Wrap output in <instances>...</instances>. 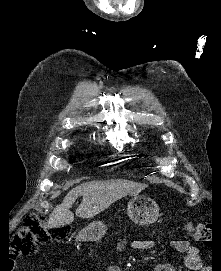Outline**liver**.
<instances>
[{"mask_svg": "<svg viewBox=\"0 0 221 271\" xmlns=\"http://www.w3.org/2000/svg\"><path fill=\"white\" fill-rule=\"evenodd\" d=\"M127 193L125 183H118V181L80 183L67 193L60 205L54 207L48 219V225L49 227H59V225H67L73 221L74 213L70 211V207L77 195H83V199L75 211L76 215L78 217H94L117 199L125 197Z\"/></svg>", "mask_w": 221, "mask_h": 271, "instance_id": "liver-1", "label": "liver"}]
</instances>
